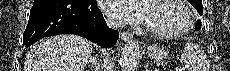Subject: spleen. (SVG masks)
Segmentation results:
<instances>
[{
	"label": "spleen",
	"mask_w": 230,
	"mask_h": 71,
	"mask_svg": "<svg viewBox=\"0 0 230 71\" xmlns=\"http://www.w3.org/2000/svg\"><path fill=\"white\" fill-rule=\"evenodd\" d=\"M188 71H208L209 66L206 57L200 47L192 42H187L184 51L179 58Z\"/></svg>",
	"instance_id": "1"
}]
</instances>
